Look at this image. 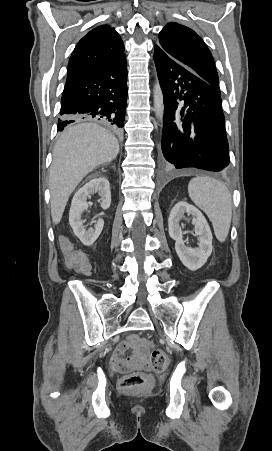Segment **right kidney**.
Segmentation results:
<instances>
[{
  "label": "right kidney",
  "mask_w": 272,
  "mask_h": 451,
  "mask_svg": "<svg viewBox=\"0 0 272 451\" xmlns=\"http://www.w3.org/2000/svg\"><path fill=\"white\" fill-rule=\"evenodd\" d=\"M90 194H97V196H100L98 202H100L103 210L110 208L111 192L108 180L102 178V176L101 178H93V180L87 182L83 188H80V190L76 192L72 200L69 212V224L75 235L81 239L84 245H92L97 237H99L104 226V220H102V218L90 222V224H94V227H89V229H87V226H83L86 220H81V218L83 212L89 208L87 198H91Z\"/></svg>",
  "instance_id": "right-kidney-1"
}]
</instances>
